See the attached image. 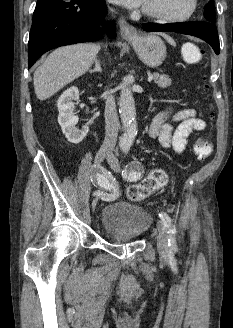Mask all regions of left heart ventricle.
<instances>
[{
	"label": "left heart ventricle",
	"instance_id": "1",
	"mask_svg": "<svg viewBox=\"0 0 233 328\" xmlns=\"http://www.w3.org/2000/svg\"><path fill=\"white\" fill-rule=\"evenodd\" d=\"M190 0H146L143 8L170 16L184 14L189 8Z\"/></svg>",
	"mask_w": 233,
	"mask_h": 328
}]
</instances>
